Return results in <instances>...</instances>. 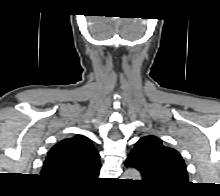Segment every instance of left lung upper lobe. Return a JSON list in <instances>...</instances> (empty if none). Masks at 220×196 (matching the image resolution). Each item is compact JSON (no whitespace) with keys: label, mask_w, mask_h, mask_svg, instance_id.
Returning a JSON list of instances; mask_svg holds the SVG:
<instances>
[{"label":"left lung upper lobe","mask_w":220,"mask_h":196,"mask_svg":"<svg viewBox=\"0 0 220 196\" xmlns=\"http://www.w3.org/2000/svg\"><path fill=\"white\" fill-rule=\"evenodd\" d=\"M126 166L138 169L142 181L159 192H171L188 183L181 155L175 149L164 146L156 136L140 138L128 155Z\"/></svg>","instance_id":"obj_1"}]
</instances>
